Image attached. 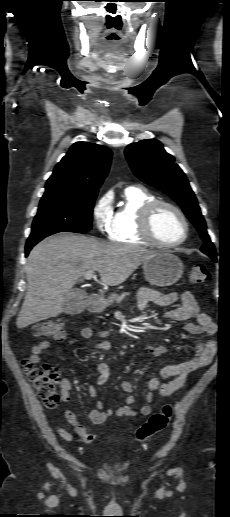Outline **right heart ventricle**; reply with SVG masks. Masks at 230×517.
I'll list each match as a JSON object with an SVG mask.
<instances>
[{
    "label": "right heart ventricle",
    "instance_id": "right-heart-ventricle-1",
    "mask_svg": "<svg viewBox=\"0 0 230 517\" xmlns=\"http://www.w3.org/2000/svg\"><path fill=\"white\" fill-rule=\"evenodd\" d=\"M156 200L147 189L130 186L124 190L123 203L115 211L108 233L113 242L124 245L151 244L140 232V214L150 202Z\"/></svg>",
    "mask_w": 230,
    "mask_h": 517
}]
</instances>
